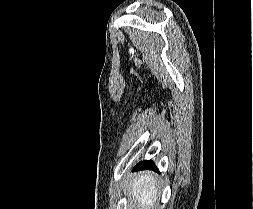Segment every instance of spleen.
<instances>
[{
	"label": "spleen",
	"mask_w": 253,
	"mask_h": 209,
	"mask_svg": "<svg viewBox=\"0 0 253 209\" xmlns=\"http://www.w3.org/2000/svg\"><path fill=\"white\" fill-rule=\"evenodd\" d=\"M130 195L138 202V209H153L156 201V179L145 173L136 177L131 183Z\"/></svg>",
	"instance_id": "1"
}]
</instances>
